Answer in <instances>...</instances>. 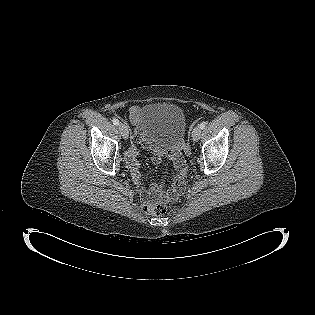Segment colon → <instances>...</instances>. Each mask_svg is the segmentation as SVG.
Instances as JSON below:
<instances>
[{"label": "colon", "mask_w": 315, "mask_h": 315, "mask_svg": "<svg viewBox=\"0 0 315 315\" xmlns=\"http://www.w3.org/2000/svg\"><path fill=\"white\" fill-rule=\"evenodd\" d=\"M187 172V167L185 164V169L179 172L173 187L171 188L170 192L167 195L168 199H174L179 194H181L185 189V182L184 177ZM142 209L145 213L154 215V216H162L167 211V203L164 200H160L157 202H145L142 206Z\"/></svg>", "instance_id": "5ec220e1"}]
</instances>
